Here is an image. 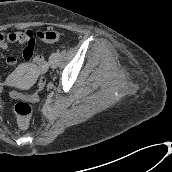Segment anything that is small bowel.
Instances as JSON below:
<instances>
[{
  "label": "small bowel",
  "instance_id": "small-bowel-1",
  "mask_svg": "<svg viewBox=\"0 0 172 172\" xmlns=\"http://www.w3.org/2000/svg\"><path fill=\"white\" fill-rule=\"evenodd\" d=\"M45 32L46 31H39L34 33L31 30L2 31L0 32V49L5 50L13 43L24 44L25 47L22 56L26 64L29 65L33 58L37 41L47 42L44 40ZM6 63L10 66H14L17 63V59L14 56H9L6 59ZM0 81H2V78H0Z\"/></svg>",
  "mask_w": 172,
  "mask_h": 172
}]
</instances>
